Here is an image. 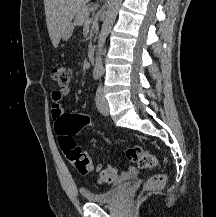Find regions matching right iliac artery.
Listing matches in <instances>:
<instances>
[{"label": "right iliac artery", "instance_id": "82829eb1", "mask_svg": "<svg viewBox=\"0 0 216 217\" xmlns=\"http://www.w3.org/2000/svg\"><path fill=\"white\" fill-rule=\"evenodd\" d=\"M99 78L98 75H94V79L97 80Z\"/></svg>", "mask_w": 216, "mask_h": 217}]
</instances>
